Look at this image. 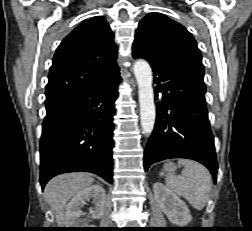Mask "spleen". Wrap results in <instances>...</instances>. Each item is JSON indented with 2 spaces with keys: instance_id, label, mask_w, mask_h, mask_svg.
I'll return each mask as SVG.
<instances>
[{
  "instance_id": "1",
  "label": "spleen",
  "mask_w": 252,
  "mask_h": 231,
  "mask_svg": "<svg viewBox=\"0 0 252 231\" xmlns=\"http://www.w3.org/2000/svg\"><path fill=\"white\" fill-rule=\"evenodd\" d=\"M178 163L184 166L182 174H169L166 177L167 187L185 198L196 210H202L209 200L212 186L209 171L193 160L179 159Z\"/></svg>"
}]
</instances>
